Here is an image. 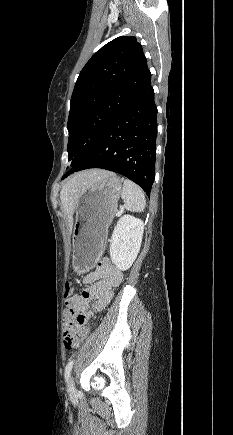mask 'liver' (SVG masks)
Listing matches in <instances>:
<instances>
[{"label":"liver","instance_id":"liver-1","mask_svg":"<svg viewBox=\"0 0 233 435\" xmlns=\"http://www.w3.org/2000/svg\"><path fill=\"white\" fill-rule=\"evenodd\" d=\"M109 174L106 170H86L71 176L60 192L62 209L67 215L69 233L72 231L73 214L85 190Z\"/></svg>","mask_w":233,"mask_h":435}]
</instances>
